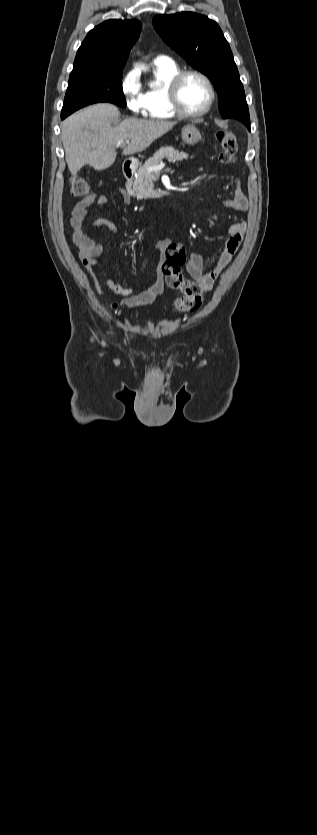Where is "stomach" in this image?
<instances>
[{
  "label": "stomach",
  "instance_id": "obj_1",
  "mask_svg": "<svg viewBox=\"0 0 317 835\" xmlns=\"http://www.w3.org/2000/svg\"><path fill=\"white\" fill-rule=\"evenodd\" d=\"M181 137L188 145H195L201 140V134L193 124L185 125L181 129Z\"/></svg>",
  "mask_w": 317,
  "mask_h": 835
}]
</instances>
